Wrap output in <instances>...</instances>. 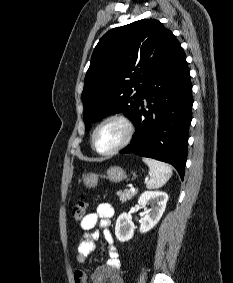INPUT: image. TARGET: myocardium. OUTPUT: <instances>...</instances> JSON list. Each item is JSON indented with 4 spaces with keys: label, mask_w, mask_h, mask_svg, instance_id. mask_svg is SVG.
I'll list each match as a JSON object with an SVG mask.
<instances>
[{
    "label": "myocardium",
    "mask_w": 233,
    "mask_h": 283,
    "mask_svg": "<svg viewBox=\"0 0 233 283\" xmlns=\"http://www.w3.org/2000/svg\"><path fill=\"white\" fill-rule=\"evenodd\" d=\"M112 121L119 122V123H121L123 125V127L125 129L124 137H123L122 141L117 146H115L113 149H111L109 151H105V152L99 151L96 148V145H95L96 134H97L98 130L103 125H105L108 122H112ZM134 133H135V125H134L132 119L129 116H127L126 114H123V113H114V114L108 115L107 117L102 119L96 125V127L94 128V130L92 132V135H91V146H92V149L97 154L102 155V156L114 155V154L120 152L121 150H123L125 147H127L130 144V142L132 141V138L134 136Z\"/></svg>",
    "instance_id": "obj_1"
}]
</instances>
